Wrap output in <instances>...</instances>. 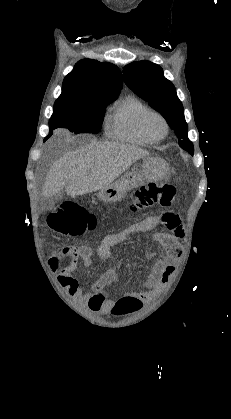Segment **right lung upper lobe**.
<instances>
[{"label": "right lung upper lobe", "instance_id": "cb5924a9", "mask_svg": "<svg viewBox=\"0 0 231 419\" xmlns=\"http://www.w3.org/2000/svg\"><path fill=\"white\" fill-rule=\"evenodd\" d=\"M122 86V74L116 65L83 59L64 78L59 97L78 100L115 99Z\"/></svg>", "mask_w": 231, "mask_h": 419}]
</instances>
